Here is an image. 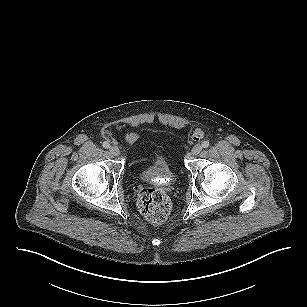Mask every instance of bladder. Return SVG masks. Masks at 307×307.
<instances>
[{
	"instance_id": "31cf9c89",
	"label": "bladder",
	"mask_w": 307,
	"mask_h": 307,
	"mask_svg": "<svg viewBox=\"0 0 307 307\" xmlns=\"http://www.w3.org/2000/svg\"><path fill=\"white\" fill-rule=\"evenodd\" d=\"M139 174L142 179L150 181L166 179L172 176V172L162 156H156L150 164L140 170Z\"/></svg>"
}]
</instances>
